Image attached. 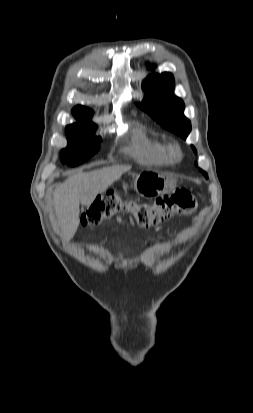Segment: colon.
Wrapping results in <instances>:
<instances>
[{
  "mask_svg": "<svg viewBox=\"0 0 253 413\" xmlns=\"http://www.w3.org/2000/svg\"><path fill=\"white\" fill-rule=\"evenodd\" d=\"M195 197L180 188L171 194L158 197L153 203H142L120 197L115 192L99 196L82 214L84 225L97 224L120 212L132 216L141 227L157 226L174 215H190L196 208Z\"/></svg>",
  "mask_w": 253,
  "mask_h": 413,
  "instance_id": "1",
  "label": "colon"
}]
</instances>
